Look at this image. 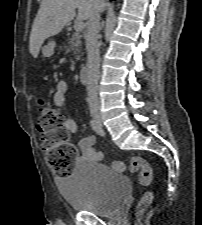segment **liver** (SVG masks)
<instances>
[{
  "label": "liver",
  "instance_id": "1",
  "mask_svg": "<svg viewBox=\"0 0 202 225\" xmlns=\"http://www.w3.org/2000/svg\"><path fill=\"white\" fill-rule=\"evenodd\" d=\"M105 7L104 0H42L30 34L29 50L36 58L44 40L61 32L74 19L87 20L97 8Z\"/></svg>",
  "mask_w": 202,
  "mask_h": 225
}]
</instances>
